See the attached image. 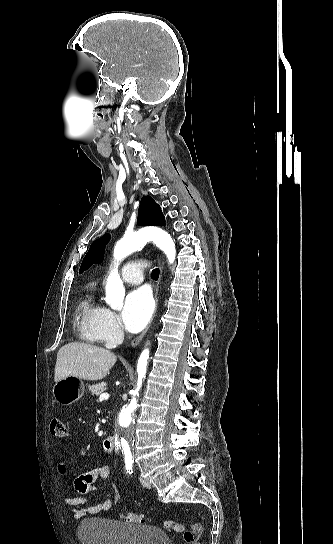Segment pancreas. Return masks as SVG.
<instances>
[{
	"label": "pancreas",
	"instance_id": "cf45deb5",
	"mask_svg": "<svg viewBox=\"0 0 333 544\" xmlns=\"http://www.w3.org/2000/svg\"><path fill=\"white\" fill-rule=\"evenodd\" d=\"M106 389L107 388H106L105 382H101V383L89 386V390L92 393V395H96V396L102 394L104 391H106Z\"/></svg>",
	"mask_w": 333,
	"mask_h": 544
}]
</instances>
